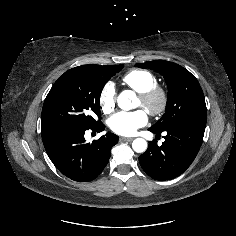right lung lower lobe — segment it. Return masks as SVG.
<instances>
[{
    "label": "right lung lower lobe",
    "mask_w": 236,
    "mask_h": 236,
    "mask_svg": "<svg viewBox=\"0 0 236 236\" xmlns=\"http://www.w3.org/2000/svg\"><path fill=\"white\" fill-rule=\"evenodd\" d=\"M101 132L103 123L93 128L67 126L42 135L45 150L55 167L68 178L77 182L95 179L105 168L111 148L119 137L107 133L92 143H86V130Z\"/></svg>",
    "instance_id": "98d812e1"
}]
</instances>
